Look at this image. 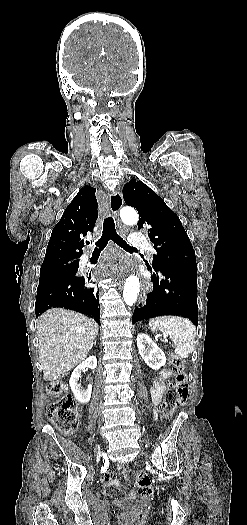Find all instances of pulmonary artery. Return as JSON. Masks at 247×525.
I'll list each match as a JSON object with an SVG mask.
<instances>
[{
	"instance_id": "e3ab8cb5",
	"label": "pulmonary artery",
	"mask_w": 247,
	"mask_h": 525,
	"mask_svg": "<svg viewBox=\"0 0 247 525\" xmlns=\"http://www.w3.org/2000/svg\"><path fill=\"white\" fill-rule=\"evenodd\" d=\"M128 242L133 246H144L147 252L150 254V257H153V252L155 251L152 244L148 242L147 236H128ZM80 261H89V255L84 254Z\"/></svg>"
}]
</instances>
